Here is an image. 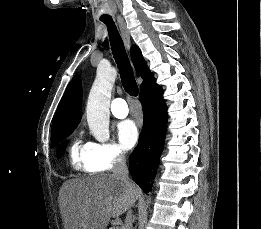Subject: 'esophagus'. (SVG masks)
<instances>
[{
	"instance_id": "34e87169",
	"label": "esophagus",
	"mask_w": 261,
	"mask_h": 229,
	"mask_svg": "<svg viewBox=\"0 0 261 229\" xmlns=\"http://www.w3.org/2000/svg\"><path fill=\"white\" fill-rule=\"evenodd\" d=\"M117 21L119 24V28L123 37V40L125 42V45L128 50H130V45H131V39H130V32L127 29L126 23L124 22L123 18L118 16Z\"/></svg>"
}]
</instances>
